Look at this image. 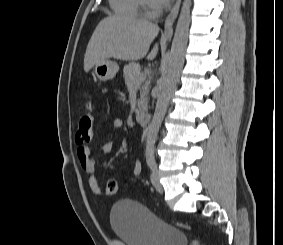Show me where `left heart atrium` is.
<instances>
[{
  "label": "left heart atrium",
  "instance_id": "obj_1",
  "mask_svg": "<svg viewBox=\"0 0 283 245\" xmlns=\"http://www.w3.org/2000/svg\"><path fill=\"white\" fill-rule=\"evenodd\" d=\"M171 0H152L153 4L157 7H163L167 5Z\"/></svg>",
  "mask_w": 283,
  "mask_h": 245
}]
</instances>
